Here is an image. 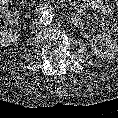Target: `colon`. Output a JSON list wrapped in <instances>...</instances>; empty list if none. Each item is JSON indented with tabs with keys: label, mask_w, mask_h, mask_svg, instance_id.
<instances>
[{
	"label": "colon",
	"mask_w": 118,
	"mask_h": 118,
	"mask_svg": "<svg viewBox=\"0 0 118 118\" xmlns=\"http://www.w3.org/2000/svg\"><path fill=\"white\" fill-rule=\"evenodd\" d=\"M18 19L19 13L17 9L0 11V27L12 26L17 23Z\"/></svg>",
	"instance_id": "1"
}]
</instances>
